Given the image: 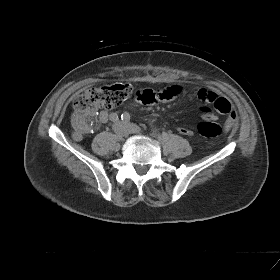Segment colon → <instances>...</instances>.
Wrapping results in <instances>:
<instances>
[{"label": "colon", "mask_w": 280, "mask_h": 280, "mask_svg": "<svg viewBox=\"0 0 280 280\" xmlns=\"http://www.w3.org/2000/svg\"><path fill=\"white\" fill-rule=\"evenodd\" d=\"M132 93L128 83H114L101 87L89 88L79 94L74 101L75 108L84 115V123L89 127L96 126V117L100 109H111L119 106ZM225 126L207 120L197 125V131L205 137H217Z\"/></svg>", "instance_id": "obj_1"}]
</instances>
